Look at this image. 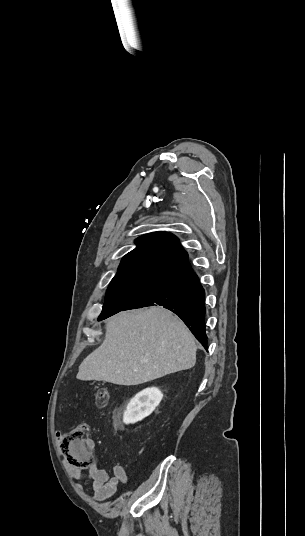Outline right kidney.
<instances>
[{
	"instance_id": "right-kidney-1",
	"label": "right kidney",
	"mask_w": 305,
	"mask_h": 536,
	"mask_svg": "<svg viewBox=\"0 0 305 536\" xmlns=\"http://www.w3.org/2000/svg\"><path fill=\"white\" fill-rule=\"evenodd\" d=\"M162 398L163 394L158 388H146V390L136 394L135 398L128 404L127 412L124 414L125 424H134V422L143 420V418L152 414L155 408L159 406Z\"/></svg>"
}]
</instances>
